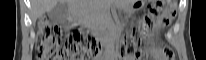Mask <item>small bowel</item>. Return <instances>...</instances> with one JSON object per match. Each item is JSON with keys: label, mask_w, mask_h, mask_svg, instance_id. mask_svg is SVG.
<instances>
[{"label": "small bowel", "mask_w": 206, "mask_h": 60, "mask_svg": "<svg viewBox=\"0 0 206 60\" xmlns=\"http://www.w3.org/2000/svg\"><path fill=\"white\" fill-rule=\"evenodd\" d=\"M161 25V21H158L156 23V27H159ZM154 57L158 60H170L169 58H167L163 51L159 50V49H155L154 50ZM125 60H138L139 58H135V57H132V56H126L124 58Z\"/></svg>", "instance_id": "small-bowel-1"}]
</instances>
